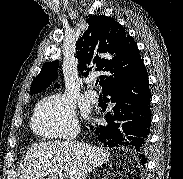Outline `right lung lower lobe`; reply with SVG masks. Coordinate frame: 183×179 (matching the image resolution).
Here are the masks:
<instances>
[{"label":"right lung lower lobe","instance_id":"98d812e1","mask_svg":"<svg viewBox=\"0 0 183 179\" xmlns=\"http://www.w3.org/2000/svg\"><path fill=\"white\" fill-rule=\"evenodd\" d=\"M113 111L105 115L104 125L90 126V130L104 147H127L135 151L144 165L145 149L151 125L150 89L148 75L142 63L132 74L102 90Z\"/></svg>","mask_w":183,"mask_h":179}]
</instances>
